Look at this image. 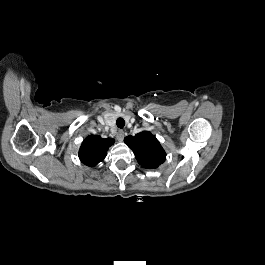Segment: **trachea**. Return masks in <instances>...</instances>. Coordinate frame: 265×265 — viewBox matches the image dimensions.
Masks as SVG:
<instances>
[{
    "mask_svg": "<svg viewBox=\"0 0 265 265\" xmlns=\"http://www.w3.org/2000/svg\"><path fill=\"white\" fill-rule=\"evenodd\" d=\"M116 124L119 128H123L125 126V121L123 118H118Z\"/></svg>",
    "mask_w": 265,
    "mask_h": 265,
    "instance_id": "3493384b",
    "label": "trachea"
}]
</instances>
